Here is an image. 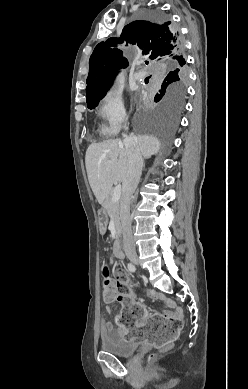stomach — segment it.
I'll return each mask as SVG.
<instances>
[{
  "instance_id": "stomach-1",
  "label": "stomach",
  "mask_w": 248,
  "mask_h": 389,
  "mask_svg": "<svg viewBox=\"0 0 248 389\" xmlns=\"http://www.w3.org/2000/svg\"><path fill=\"white\" fill-rule=\"evenodd\" d=\"M99 213H100V229H99V234L100 235H105L106 231L108 230L107 225V220L110 218V215L106 213V208L105 207H100L99 208Z\"/></svg>"
}]
</instances>
